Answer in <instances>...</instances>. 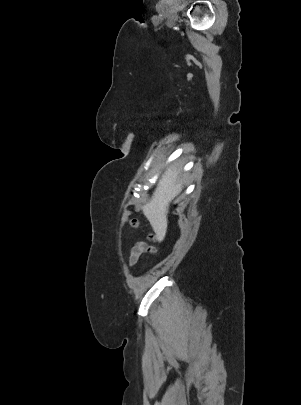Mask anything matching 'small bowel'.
Returning <instances> with one entry per match:
<instances>
[{"label":"small bowel","instance_id":"c3829d8e","mask_svg":"<svg viewBox=\"0 0 301 405\" xmlns=\"http://www.w3.org/2000/svg\"><path fill=\"white\" fill-rule=\"evenodd\" d=\"M145 250H146V244L145 243L136 242L132 246L131 251H130V255H129V258H128L129 265L134 266L137 263L139 257L145 252Z\"/></svg>","mask_w":301,"mask_h":405}]
</instances>
